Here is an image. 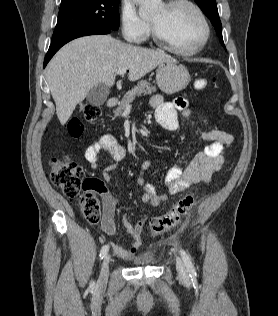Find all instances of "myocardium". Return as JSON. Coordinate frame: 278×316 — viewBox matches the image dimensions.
<instances>
[{
	"mask_svg": "<svg viewBox=\"0 0 278 316\" xmlns=\"http://www.w3.org/2000/svg\"><path fill=\"white\" fill-rule=\"evenodd\" d=\"M180 5H186V6H189L190 8H192L195 13L198 15L202 25H203V28H204V36H203V39L202 41L199 43V45H197L196 47L192 48V49H184V48H181L179 46H177L176 44H174L159 28L157 25H155L153 22L150 23V26H151V34H152V38L153 40L177 53V54H180V55H184V56H192V55H195V54H198L199 52H201L205 46L207 45L209 39H210V36H211V28H210V24H209V21L204 13V11L201 9V7L196 4L194 1L192 0H168L164 6L166 7V9H173L177 6H180Z\"/></svg>",
	"mask_w": 278,
	"mask_h": 316,
	"instance_id": "1",
	"label": "myocardium"
}]
</instances>
